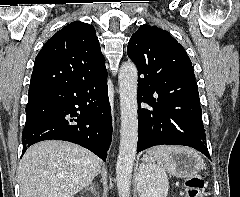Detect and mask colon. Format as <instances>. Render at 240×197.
Masks as SVG:
<instances>
[{
	"instance_id": "obj_1",
	"label": "colon",
	"mask_w": 240,
	"mask_h": 197,
	"mask_svg": "<svg viewBox=\"0 0 240 197\" xmlns=\"http://www.w3.org/2000/svg\"><path fill=\"white\" fill-rule=\"evenodd\" d=\"M185 186L188 197H203L205 179L201 174H193L186 179Z\"/></svg>"
}]
</instances>
